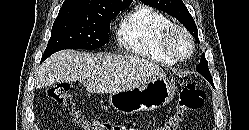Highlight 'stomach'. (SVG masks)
<instances>
[{"mask_svg": "<svg viewBox=\"0 0 249 130\" xmlns=\"http://www.w3.org/2000/svg\"><path fill=\"white\" fill-rule=\"evenodd\" d=\"M175 92L174 82L159 78L139 87L112 93L109 104L123 114L155 110L167 105L174 98Z\"/></svg>", "mask_w": 249, "mask_h": 130, "instance_id": "stomach-1", "label": "stomach"}]
</instances>
